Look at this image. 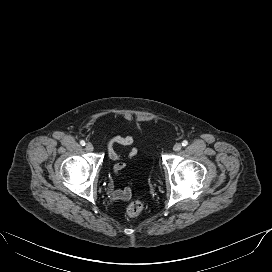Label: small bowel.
<instances>
[{
  "instance_id": "c3829d8e",
  "label": "small bowel",
  "mask_w": 272,
  "mask_h": 272,
  "mask_svg": "<svg viewBox=\"0 0 272 272\" xmlns=\"http://www.w3.org/2000/svg\"><path fill=\"white\" fill-rule=\"evenodd\" d=\"M135 139V135L133 132L124 135V136H115L111 138L107 144V152L111 159L116 161L114 165L115 173L119 174L126 166V161L135 157L138 153L136 147H132L126 155L118 154L114 146L115 145H122V146H130L133 144ZM132 189L131 187H126L124 189H112L111 191V198L114 201L117 200H128L131 197Z\"/></svg>"
}]
</instances>
